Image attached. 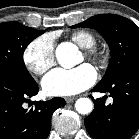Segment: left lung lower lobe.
Segmentation results:
<instances>
[{"instance_id": "left-lung-lower-lobe-1", "label": "left lung lower lobe", "mask_w": 139, "mask_h": 139, "mask_svg": "<svg viewBox=\"0 0 139 139\" xmlns=\"http://www.w3.org/2000/svg\"><path fill=\"white\" fill-rule=\"evenodd\" d=\"M94 92H108L114 99L93 100L94 110L86 117L85 126L94 139H129L139 128V63L120 72L110 83L96 85Z\"/></svg>"}]
</instances>
